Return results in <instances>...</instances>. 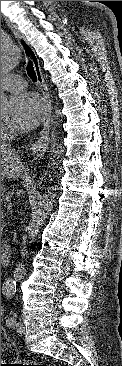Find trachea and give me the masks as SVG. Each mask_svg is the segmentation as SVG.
Segmentation results:
<instances>
[{
    "label": "trachea",
    "instance_id": "obj_1",
    "mask_svg": "<svg viewBox=\"0 0 122 366\" xmlns=\"http://www.w3.org/2000/svg\"><path fill=\"white\" fill-rule=\"evenodd\" d=\"M26 70H27V74H28V76H29L33 81H36L37 76H36V72H35V70H34V67H33V64H32V62H31V61L28 63Z\"/></svg>",
    "mask_w": 122,
    "mask_h": 366
}]
</instances>
